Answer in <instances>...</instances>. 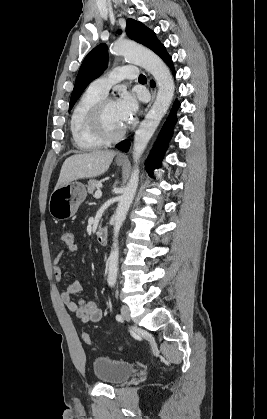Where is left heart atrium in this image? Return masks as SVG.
<instances>
[{"label": "left heart atrium", "instance_id": "obj_1", "mask_svg": "<svg viewBox=\"0 0 267 419\" xmlns=\"http://www.w3.org/2000/svg\"><path fill=\"white\" fill-rule=\"evenodd\" d=\"M116 102L122 120L125 124L130 123L138 111V101L135 95L125 92Z\"/></svg>", "mask_w": 267, "mask_h": 419}]
</instances>
